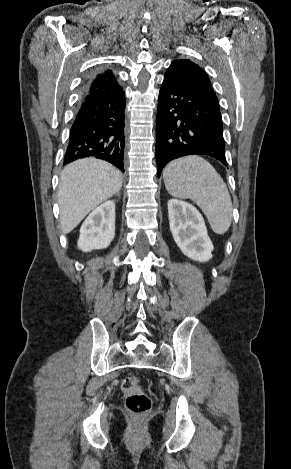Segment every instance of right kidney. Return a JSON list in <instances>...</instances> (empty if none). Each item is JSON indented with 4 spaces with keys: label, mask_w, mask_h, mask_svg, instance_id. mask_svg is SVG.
Instances as JSON below:
<instances>
[{
    "label": "right kidney",
    "mask_w": 291,
    "mask_h": 469,
    "mask_svg": "<svg viewBox=\"0 0 291 469\" xmlns=\"http://www.w3.org/2000/svg\"><path fill=\"white\" fill-rule=\"evenodd\" d=\"M115 236V202L106 201L86 218L77 242L83 252L108 247Z\"/></svg>",
    "instance_id": "right-kidney-1"
}]
</instances>
